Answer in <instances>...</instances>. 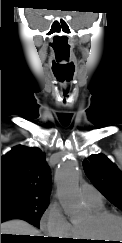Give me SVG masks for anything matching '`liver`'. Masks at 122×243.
I'll return each instance as SVG.
<instances>
[{"label":"liver","mask_w":122,"mask_h":243,"mask_svg":"<svg viewBox=\"0 0 122 243\" xmlns=\"http://www.w3.org/2000/svg\"><path fill=\"white\" fill-rule=\"evenodd\" d=\"M1 234L41 236L39 230L23 220H10L1 223Z\"/></svg>","instance_id":"6515ba94"}]
</instances>
